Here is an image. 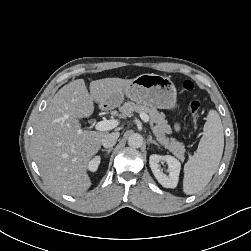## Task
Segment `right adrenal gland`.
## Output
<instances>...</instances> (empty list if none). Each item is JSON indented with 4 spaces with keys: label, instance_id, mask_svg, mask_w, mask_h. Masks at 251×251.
<instances>
[{
    "label": "right adrenal gland",
    "instance_id": "2a0ac1e0",
    "mask_svg": "<svg viewBox=\"0 0 251 251\" xmlns=\"http://www.w3.org/2000/svg\"><path fill=\"white\" fill-rule=\"evenodd\" d=\"M103 152H107V154L109 155V153L112 151V148L109 149H102Z\"/></svg>",
    "mask_w": 251,
    "mask_h": 251
}]
</instances>
